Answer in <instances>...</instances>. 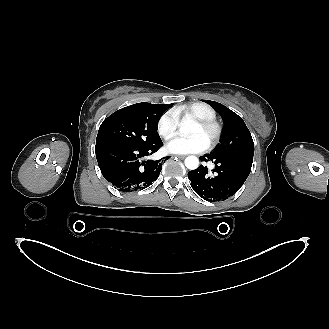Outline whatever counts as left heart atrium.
Returning a JSON list of instances; mask_svg holds the SVG:
<instances>
[{"mask_svg": "<svg viewBox=\"0 0 329 329\" xmlns=\"http://www.w3.org/2000/svg\"><path fill=\"white\" fill-rule=\"evenodd\" d=\"M208 143L199 135L178 137L166 144V150L175 154L199 153L206 150Z\"/></svg>", "mask_w": 329, "mask_h": 329, "instance_id": "obj_1", "label": "left heart atrium"}]
</instances>
